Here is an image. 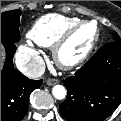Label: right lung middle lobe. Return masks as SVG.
Instances as JSON below:
<instances>
[{
	"label": "right lung middle lobe",
	"instance_id": "obj_1",
	"mask_svg": "<svg viewBox=\"0 0 121 121\" xmlns=\"http://www.w3.org/2000/svg\"><path fill=\"white\" fill-rule=\"evenodd\" d=\"M21 11L12 10L1 13V41L16 43L20 39L19 19Z\"/></svg>",
	"mask_w": 121,
	"mask_h": 121
}]
</instances>
